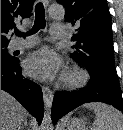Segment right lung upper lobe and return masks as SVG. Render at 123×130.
<instances>
[{"mask_svg":"<svg viewBox=\"0 0 123 130\" xmlns=\"http://www.w3.org/2000/svg\"><path fill=\"white\" fill-rule=\"evenodd\" d=\"M35 0H1V44H8L7 34L16 23L30 15Z\"/></svg>","mask_w":123,"mask_h":130,"instance_id":"obj_1","label":"right lung upper lobe"}]
</instances>
